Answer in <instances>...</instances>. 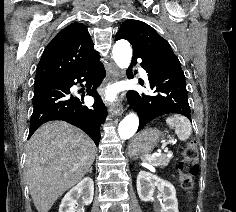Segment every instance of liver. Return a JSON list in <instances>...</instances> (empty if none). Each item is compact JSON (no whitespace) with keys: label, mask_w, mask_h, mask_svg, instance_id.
<instances>
[{"label":"liver","mask_w":236,"mask_h":212,"mask_svg":"<svg viewBox=\"0 0 236 212\" xmlns=\"http://www.w3.org/2000/svg\"><path fill=\"white\" fill-rule=\"evenodd\" d=\"M92 139L65 121L39 127L27 143L25 176L35 208L48 212L55 201L76 185L92 166Z\"/></svg>","instance_id":"6515ba94"}]
</instances>
